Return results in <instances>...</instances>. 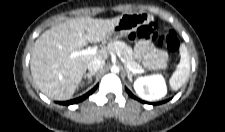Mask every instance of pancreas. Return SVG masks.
I'll return each instance as SVG.
<instances>
[{
    "label": "pancreas",
    "instance_id": "cf45deb5",
    "mask_svg": "<svg viewBox=\"0 0 225 132\" xmlns=\"http://www.w3.org/2000/svg\"><path fill=\"white\" fill-rule=\"evenodd\" d=\"M107 49L111 52L116 53L121 60L131 66L133 69L139 71L142 70V66L136 62L133 54V50L125 42L112 41L107 45ZM166 64H162L160 68H165Z\"/></svg>",
    "mask_w": 225,
    "mask_h": 132
}]
</instances>
